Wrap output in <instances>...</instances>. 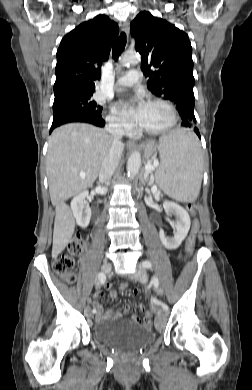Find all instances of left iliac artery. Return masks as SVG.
Instances as JSON below:
<instances>
[{"mask_svg":"<svg viewBox=\"0 0 252 390\" xmlns=\"http://www.w3.org/2000/svg\"><path fill=\"white\" fill-rule=\"evenodd\" d=\"M142 267L147 268V269H151V268H152V264H151L150 261L144 260V261L142 262ZM152 283H153V285H154L155 288H158V286H159V280H158V278H157L156 276H153V278H152ZM153 302H155V304H157V305H160V306L163 308V310H165V311H167V310L169 309L167 304H165V303L159 301V300L156 299V298H153Z\"/></svg>","mask_w":252,"mask_h":390,"instance_id":"1","label":"left iliac artery"}]
</instances>
